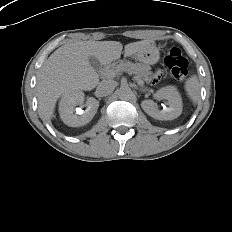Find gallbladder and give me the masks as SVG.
Here are the masks:
<instances>
[{"instance_id":"bac80fb5","label":"gallbladder","mask_w":232,"mask_h":232,"mask_svg":"<svg viewBox=\"0 0 232 232\" xmlns=\"http://www.w3.org/2000/svg\"><path fill=\"white\" fill-rule=\"evenodd\" d=\"M89 63L96 71H98L101 67L99 60L95 56L89 57Z\"/></svg>"}]
</instances>
